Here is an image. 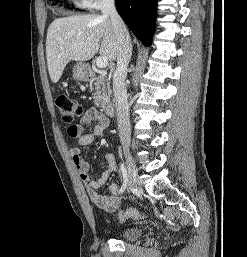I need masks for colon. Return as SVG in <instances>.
Segmentation results:
<instances>
[{
    "label": "colon",
    "instance_id": "1",
    "mask_svg": "<svg viewBox=\"0 0 247 257\" xmlns=\"http://www.w3.org/2000/svg\"><path fill=\"white\" fill-rule=\"evenodd\" d=\"M56 105L59 109L62 121L70 126L77 117H81L84 113L82 105L67 94L58 95ZM143 217L144 214L142 212L132 208L120 211L117 215V219L120 222H125L129 219L139 220Z\"/></svg>",
    "mask_w": 247,
    "mask_h": 257
}]
</instances>
